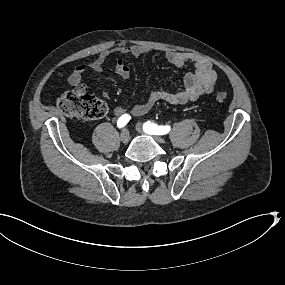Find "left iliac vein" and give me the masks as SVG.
<instances>
[{"label":"left iliac vein","mask_w":285,"mask_h":285,"mask_svg":"<svg viewBox=\"0 0 285 285\" xmlns=\"http://www.w3.org/2000/svg\"><path fill=\"white\" fill-rule=\"evenodd\" d=\"M136 130L140 133V134H144V131H143V128H142V124L141 123H137L136 124ZM149 136H152V135H149ZM152 138L158 142V143H164L165 142V139L163 137H160V136H155L153 135Z\"/></svg>","instance_id":"4c4485c4"}]
</instances>
